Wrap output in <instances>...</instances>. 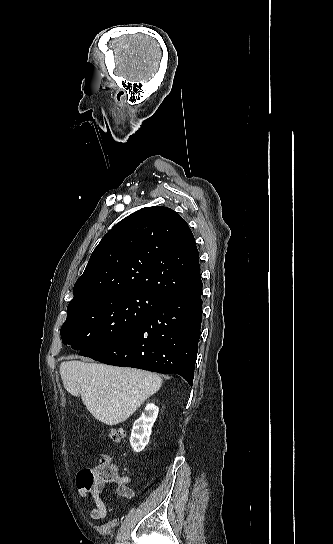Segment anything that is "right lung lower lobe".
<instances>
[{
    "mask_svg": "<svg viewBox=\"0 0 333 544\" xmlns=\"http://www.w3.org/2000/svg\"><path fill=\"white\" fill-rule=\"evenodd\" d=\"M201 319L202 281L166 297L134 329L83 356L110 365L176 373L192 385Z\"/></svg>",
    "mask_w": 333,
    "mask_h": 544,
    "instance_id": "1",
    "label": "right lung lower lobe"
}]
</instances>
